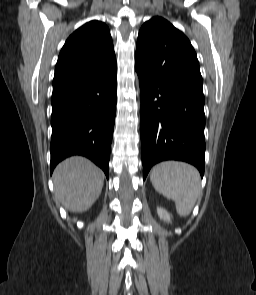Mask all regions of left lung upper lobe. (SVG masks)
<instances>
[{
  "label": "left lung upper lobe",
  "instance_id": "1",
  "mask_svg": "<svg viewBox=\"0 0 256 295\" xmlns=\"http://www.w3.org/2000/svg\"><path fill=\"white\" fill-rule=\"evenodd\" d=\"M135 65L160 84L204 99L199 62L190 41L161 17L142 26Z\"/></svg>",
  "mask_w": 256,
  "mask_h": 295
}]
</instances>
